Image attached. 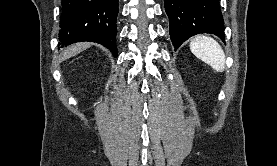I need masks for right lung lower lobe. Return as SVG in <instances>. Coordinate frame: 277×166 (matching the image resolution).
I'll return each instance as SVG.
<instances>
[{
  "label": "right lung lower lobe",
  "instance_id": "right-lung-lower-lobe-1",
  "mask_svg": "<svg viewBox=\"0 0 277 166\" xmlns=\"http://www.w3.org/2000/svg\"><path fill=\"white\" fill-rule=\"evenodd\" d=\"M118 5V0H62L59 34L62 46L81 41L97 42L117 57Z\"/></svg>",
  "mask_w": 277,
  "mask_h": 166
}]
</instances>
